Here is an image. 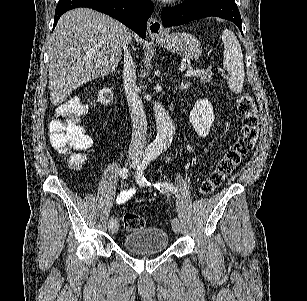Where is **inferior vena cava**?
<instances>
[{
    "label": "inferior vena cava",
    "instance_id": "inferior-vena-cava-1",
    "mask_svg": "<svg viewBox=\"0 0 307 301\" xmlns=\"http://www.w3.org/2000/svg\"><path fill=\"white\" fill-rule=\"evenodd\" d=\"M124 88L132 122L128 155L129 157H137V155L144 153L147 138V118L136 86L135 62L127 46L124 48Z\"/></svg>",
    "mask_w": 307,
    "mask_h": 301
}]
</instances>
